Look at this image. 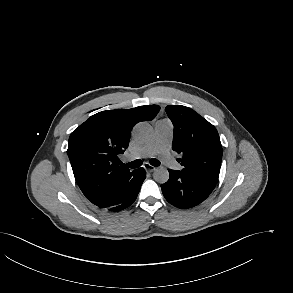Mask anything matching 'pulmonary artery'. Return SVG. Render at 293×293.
Masks as SVG:
<instances>
[{"label":"pulmonary artery","instance_id":"pulmonary-artery-1","mask_svg":"<svg viewBox=\"0 0 293 293\" xmlns=\"http://www.w3.org/2000/svg\"><path fill=\"white\" fill-rule=\"evenodd\" d=\"M173 138V125L168 120H161L155 125L153 139L128 156L130 160L148 158L158 155L159 158L173 169L179 170L181 166L177 164L170 154V147Z\"/></svg>","mask_w":293,"mask_h":293}]
</instances>
